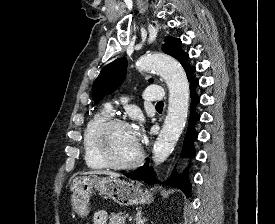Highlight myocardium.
Segmentation results:
<instances>
[{
  "label": "myocardium",
  "mask_w": 275,
  "mask_h": 224,
  "mask_svg": "<svg viewBox=\"0 0 275 224\" xmlns=\"http://www.w3.org/2000/svg\"><path fill=\"white\" fill-rule=\"evenodd\" d=\"M115 126L130 127L125 120L118 117H110L101 123L94 135V145L98 155L108 167L113 169L126 170L137 167L144 157V151L141 145H139L137 156L129 162H117L113 158L108 143V135L110 130Z\"/></svg>",
  "instance_id": "1"
}]
</instances>
